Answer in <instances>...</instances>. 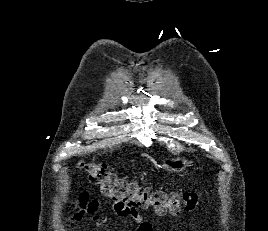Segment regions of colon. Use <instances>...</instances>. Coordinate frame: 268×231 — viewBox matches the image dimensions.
Returning <instances> with one entry per match:
<instances>
[{"instance_id": "5ec220e1", "label": "colon", "mask_w": 268, "mask_h": 231, "mask_svg": "<svg viewBox=\"0 0 268 231\" xmlns=\"http://www.w3.org/2000/svg\"><path fill=\"white\" fill-rule=\"evenodd\" d=\"M82 167L90 181L97 185L102 193L120 207L132 205L152 207L158 213L179 214L181 211H194L199 204V196L194 192H164L127 182L111 173L108 166L100 162L83 163Z\"/></svg>"}]
</instances>
